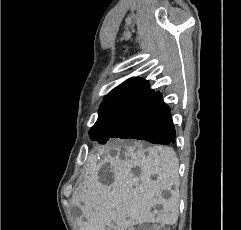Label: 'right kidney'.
<instances>
[{
    "instance_id": "obj_1",
    "label": "right kidney",
    "mask_w": 241,
    "mask_h": 230,
    "mask_svg": "<svg viewBox=\"0 0 241 230\" xmlns=\"http://www.w3.org/2000/svg\"><path fill=\"white\" fill-rule=\"evenodd\" d=\"M128 230H133V228H130V229H128Z\"/></svg>"
}]
</instances>
